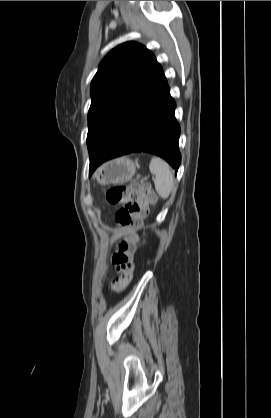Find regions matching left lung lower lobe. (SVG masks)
Segmentation results:
<instances>
[{
	"label": "left lung lower lobe",
	"mask_w": 271,
	"mask_h": 418,
	"mask_svg": "<svg viewBox=\"0 0 271 418\" xmlns=\"http://www.w3.org/2000/svg\"><path fill=\"white\" fill-rule=\"evenodd\" d=\"M175 107L162 72L91 159L89 175L103 162L134 152L158 155L176 173L181 154L178 147L180 126L175 119Z\"/></svg>",
	"instance_id": "1"
}]
</instances>
